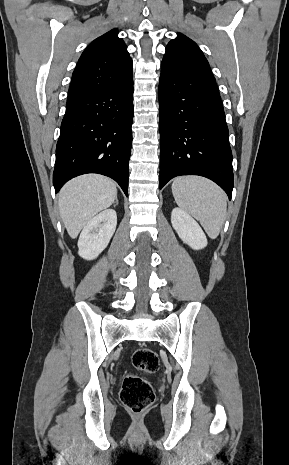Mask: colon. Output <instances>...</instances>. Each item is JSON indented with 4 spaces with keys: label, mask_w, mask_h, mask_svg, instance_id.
I'll use <instances>...</instances> for the list:
<instances>
[{
    "label": "colon",
    "mask_w": 289,
    "mask_h": 465,
    "mask_svg": "<svg viewBox=\"0 0 289 465\" xmlns=\"http://www.w3.org/2000/svg\"><path fill=\"white\" fill-rule=\"evenodd\" d=\"M132 364L137 370L148 374L155 373L160 366L156 352L148 347L139 348L133 353ZM120 398L131 412L139 414L153 403L155 394L146 379L129 373L123 379Z\"/></svg>",
    "instance_id": "5ec220e1"
}]
</instances>
